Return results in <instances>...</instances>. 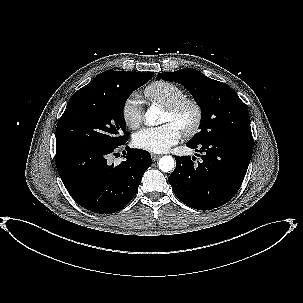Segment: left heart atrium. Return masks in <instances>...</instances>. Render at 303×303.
<instances>
[{
	"mask_svg": "<svg viewBox=\"0 0 303 303\" xmlns=\"http://www.w3.org/2000/svg\"><path fill=\"white\" fill-rule=\"evenodd\" d=\"M181 138V129L168 122L159 127L143 128L133 136L135 147L153 153L166 152Z\"/></svg>",
	"mask_w": 303,
	"mask_h": 303,
	"instance_id": "obj_1",
	"label": "left heart atrium"
}]
</instances>
